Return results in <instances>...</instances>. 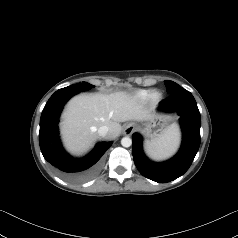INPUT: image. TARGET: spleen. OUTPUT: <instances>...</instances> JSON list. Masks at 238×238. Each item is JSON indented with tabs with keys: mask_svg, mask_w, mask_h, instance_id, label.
I'll use <instances>...</instances> for the list:
<instances>
[{
	"mask_svg": "<svg viewBox=\"0 0 238 238\" xmlns=\"http://www.w3.org/2000/svg\"><path fill=\"white\" fill-rule=\"evenodd\" d=\"M179 143V128L176 124H172L159 138L146 144V151L152 158L160 160L172 155Z\"/></svg>",
	"mask_w": 238,
	"mask_h": 238,
	"instance_id": "obj_1",
	"label": "spleen"
}]
</instances>
